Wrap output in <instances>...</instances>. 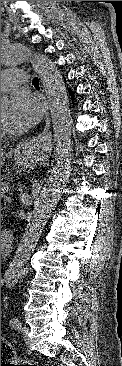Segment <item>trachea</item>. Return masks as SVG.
Instances as JSON below:
<instances>
[{"label":"trachea","instance_id":"trachea-1","mask_svg":"<svg viewBox=\"0 0 122 366\" xmlns=\"http://www.w3.org/2000/svg\"><path fill=\"white\" fill-rule=\"evenodd\" d=\"M32 83L35 87H39V80L37 78H34Z\"/></svg>","mask_w":122,"mask_h":366}]
</instances>
